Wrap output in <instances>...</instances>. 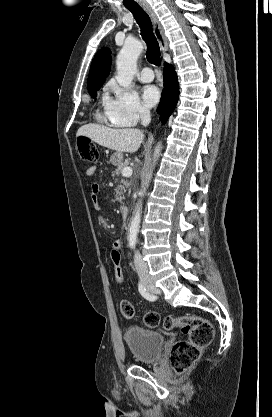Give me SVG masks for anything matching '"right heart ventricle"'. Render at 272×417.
Returning <instances> with one entry per match:
<instances>
[{
  "label": "right heart ventricle",
  "mask_w": 272,
  "mask_h": 417,
  "mask_svg": "<svg viewBox=\"0 0 272 417\" xmlns=\"http://www.w3.org/2000/svg\"><path fill=\"white\" fill-rule=\"evenodd\" d=\"M99 119L104 120V121H107V122H109L110 124H112L114 126H119V125L115 124L114 122H112L109 119V117H108V115L106 113L104 115H99Z\"/></svg>",
  "instance_id": "right-heart-ventricle-1"
}]
</instances>
